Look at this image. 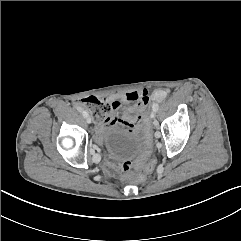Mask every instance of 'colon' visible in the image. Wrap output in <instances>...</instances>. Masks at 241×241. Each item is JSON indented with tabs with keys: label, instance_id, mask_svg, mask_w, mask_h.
Listing matches in <instances>:
<instances>
[{
	"label": "colon",
	"instance_id": "colon-1",
	"mask_svg": "<svg viewBox=\"0 0 241 241\" xmlns=\"http://www.w3.org/2000/svg\"><path fill=\"white\" fill-rule=\"evenodd\" d=\"M79 107L88 111L96 122H106L112 118L114 106L109 101L99 99L94 96L85 97L80 100ZM152 128L145 126L141 137V147L148 149L151 144ZM135 167V171H131V167ZM122 171L126 174V179L130 182L141 183L145 180L144 173L153 175L155 168L153 162L149 158V152L146 151L142 157H135L130 161H124L121 164Z\"/></svg>",
	"mask_w": 241,
	"mask_h": 241
}]
</instances>
